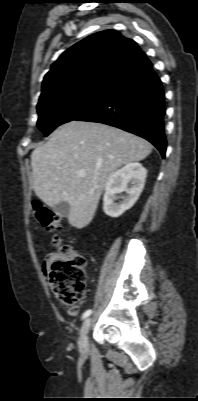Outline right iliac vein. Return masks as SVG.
<instances>
[{
    "label": "right iliac vein",
    "mask_w": 198,
    "mask_h": 401,
    "mask_svg": "<svg viewBox=\"0 0 198 401\" xmlns=\"http://www.w3.org/2000/svg\"><path fill=\"white\" fill-rule=\"evenodd\" d=\"M91 326V318H87L84 320L79 337V349L82 354H86L88 352V332Z\"/></svg>",
    "instance_id": "63e3f726"
}]
</instances>
